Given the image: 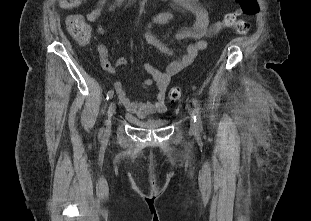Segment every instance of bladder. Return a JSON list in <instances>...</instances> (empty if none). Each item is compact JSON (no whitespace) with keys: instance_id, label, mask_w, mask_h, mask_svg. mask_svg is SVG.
<instances>
[{"instance_id":"31cf9c89","label":"bladder","mask_w":311,"mask_h":221,"mask_svg":"<svg viewBox=\"0 0 311 221\" xmlns=\"http://www.w3.org/2000/svg\"><path fill=\"white\" fill-rule=\"evenodd\" d=\"M126 116H131V114H126ZM135 123L141 127H144L145 129H160L169 124V119L160 118L157 116H148L142 120L135 119Z\"/></svg>"}]
</instances>
